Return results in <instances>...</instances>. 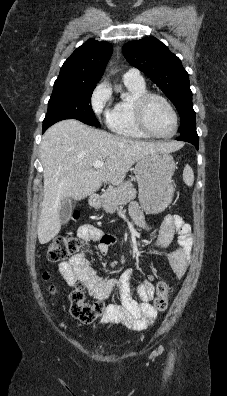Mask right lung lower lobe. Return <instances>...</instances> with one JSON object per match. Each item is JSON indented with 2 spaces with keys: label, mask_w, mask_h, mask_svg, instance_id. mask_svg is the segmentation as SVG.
I'll list each match as a JSON object with an SVG mask.
<instances>
[{
  "label": "right lung lower lobe",
  "mask_w": 227,
  "mask_h": 396,
  "mask_svg": "<svg viewBox=\"0 0 227 396\" xmlns=\"http://www.w3.org/2000/svg\"><path fill=\"white\" fill-rule=\"evenodd\" d=\"M63 119H68L66 117H59V118H54V119H50V120H44L43 121V132L49 128L51 125H53L54 123L63 120Z\"/></svg>",
  "instance_id": "right-lung-lower-lobe-1"
}]
</instances>
